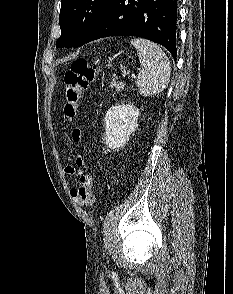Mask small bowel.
<instances>
[{
    "instance_id": "1",
    "label": "small bowel",
    "mask_w": 233,
    "mask_h": 294,
    "mask_svg": "<svg viewBox=\"0 0 233 294\" xmlns=\"http://www.w3.org/2000/svg\"><path fill=\"white\" fill-rule=\"evenodd\" d=\"M66 172L67 173H70V174H76V173H79L81 175L82 171L79 170L77 171L73 166L71 165H68L66 168H65Z\"/></svg>"
}]
</instances>
